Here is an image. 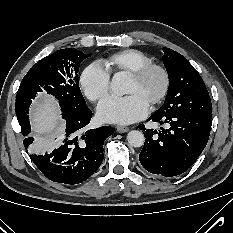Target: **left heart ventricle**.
I'll use <instances>...</instances> for the list:
<instances>
[{"label": "left heart ventricle", "mask_w": 233, "mask_h": 233, "mask_svg": "<svg viewBox=\"0 0 233 233\" xmlns=\"http://www.w3.org/2000/svg\"><path fill=\"white\" fill-rule=\"evenodd\" d=\"M162 87V77L159 72L149 73L141 81L128 79L125 93L136 94L142 98L148 105L158 95Z\"/></svg>", "instance_id": "obj_1"}]
</instances>
